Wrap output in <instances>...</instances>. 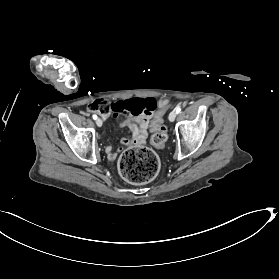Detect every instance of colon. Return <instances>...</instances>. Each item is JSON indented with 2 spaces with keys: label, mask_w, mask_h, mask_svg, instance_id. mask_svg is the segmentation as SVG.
<instances>
[{
  "label": "colon",
  "mask_w": 279,
  "mask_h": 279,
  "mask_svg": "<svg viewBox=\"0 0 279 279\" xmlns=\"http://www.w3.org/2000/svg\"><path fill=\"white\" fill-rule=\"evenodd\" d=\"M158 111L151 124L152 143L157 148H163L167 141V128L164 125L165 106ZM157 103L154 99H130L116 103L106 100H95L89 105V109L102 116L110 114L127 113L138 116L152 113L156 110ZM160 163L157 155L147 148H132L125 151L119 161V169L122 177L134 184H143L151 181L159 172Z\"/></svg>",
  "instance_id": "colon-1"
}]
</instances>
